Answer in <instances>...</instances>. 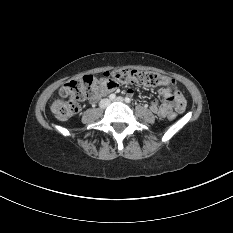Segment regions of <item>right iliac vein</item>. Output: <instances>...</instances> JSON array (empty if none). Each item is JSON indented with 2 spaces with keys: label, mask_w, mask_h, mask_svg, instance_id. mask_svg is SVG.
Wrapping results in <instances>:
<instances>
[{
  "label": "right iliac vein",
  "mask_w": 233,
  "mask_h": 233,
  "mask_svg": "<svg viewBox=\"0 0 233 233\" xmlns=\"http://www.w3.org/2000/svg\"><path fill=\"white\" fill-rule=\"evenodd\" d=\"M108 105H109V100H108V99H104V100L101 102V107H102V108H106Z\"/></svg>",
  "instance_id": "right-iliac-vein-1"
}]
</instances>
